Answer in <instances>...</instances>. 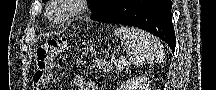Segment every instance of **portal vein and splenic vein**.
I'll list each match as a JSON object with an SVG mask.
<instances>
[{
	"label": "portal vein and splenic vein",
	"mask_w": 216,
	"mask_h": 90,
	"mask_svg": "<svg viewBox=\"0 0 216 90\" xmlns=\"http://www.w3.org/2000/svg\"><path fill=\"white\" fill-rule=\"evenodd\" d=\"M126 62H115V66H117V70H121L123 66H125Z\"/></svg>",
	"instance_id": "18ae733b"
}]
</instances>
